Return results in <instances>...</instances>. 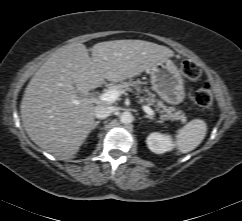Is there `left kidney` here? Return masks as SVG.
<instances>
[{
	"mask_svg": "<svg viewBox=\"0 0 242 221\" xmlns=\"http://www.w3.org/2000/svg\"><path fill=\"white\" fill-rule=\"evenodd\" d=\"M146 142L148 148L156 154L165 153L166 151L171 150L173 146L170 136L160 133H151L147 137Z\"/></svg>",
	"mask_w": 242,
	"mask_h": 221,
	"instance_id": "left-kidney-1",
	"label": "left kidney"
}]
</instances>
